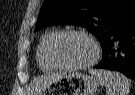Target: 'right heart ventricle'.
Here are the masks:
<instances>
[{
  "label": "right heart ventricle",
  "instance_id": "right-heart-ventricle-1",
  "mask_svg": "<svg viewBox=\"0 0 135 95\" xmlns=\"http://www.w3.org/2000/svg\"><path fill=\"white\" fill-rule=\"evenodd\" d=\"M56 33H57V31H55V30L46 33L41 38L39 45L37 47V51H36L37 63H38L39 68L44 72H49V71L56 69V67L52 66L49 63V61L47 59V55H46L47 46H48L50 40L52 39V37Z\"/></svg>",
  "mask_w": 135,
  "mask_h": 95
}]
</instances>
